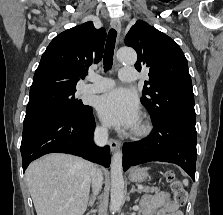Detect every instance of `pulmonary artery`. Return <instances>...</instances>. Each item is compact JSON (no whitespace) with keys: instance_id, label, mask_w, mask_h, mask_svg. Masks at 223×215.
I'll list each match as a JSON object with an SVG mask.
<instances>
[{"instance_id":"1","label":"pulmonary artery","mask_w":223,"mask_h":215,"mask_svg":"<svg viewBox=\"0 0 223 215\" xmlns=\"http://www.w3.org/2000/svg\"><path fill=\"white\" fill-rule=\"evenodd\" d=\"M139 69H134L133 65H124L122 72H119V78L124 82H133L136 79V74H139ZM89 84L84 86L85 93H99L112 89L115 86V81L111 78L90 75L88 77Z\"/></svg>"}]
</instances>
